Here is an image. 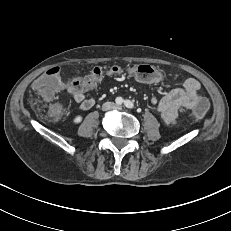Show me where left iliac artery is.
<instances>
[{
	"label": "left iliac artery",
	"mask_w": 231,
	"mask_h": 231,
	"mask_svg": "<svg viewBox=\"0 0 231 231\" xmlns=\"http://www.w3.org/2000/svg\"><path fill=\"white\" fill-rule=\"evenodd\" d=\"M124 105L129 109L134 108V104L130 100H125Z\"/></svg>",
	"instance_id": "left-iliac-artery-1"
}]
</instances>
